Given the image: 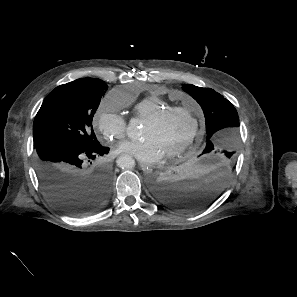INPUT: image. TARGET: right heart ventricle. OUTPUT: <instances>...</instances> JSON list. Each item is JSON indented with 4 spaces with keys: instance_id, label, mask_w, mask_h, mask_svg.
Here are the masks:
<instances>
[{
    "instance_id": "e07e8e85",
    "label": "right heart ventricle",
    "mask_w": 297,
    "mask_h": 297,
    "mask_svg": "<svg viewBox=\"0 0 297 297\" xmlns=\"http://www.w3.org/2000/svg\"><path fill=\"white\" fill-rule=\"evenodd\" d=\"M168 107L170 106L163 98L149 96L142 99L134 106V113L139 119L146 121L149 117Z\"/></svg>"
}]
</instances>
